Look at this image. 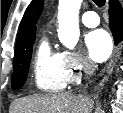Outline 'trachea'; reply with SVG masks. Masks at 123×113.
<instances>
[{"instance_id": "3493384b", "label": "trachea", "mask_w": 123, "mask_h": 113, "mask_svg": "<svg viewBox=\"0 0 123 113\" xmlns=\"http://www.w3.org/2000/svg\"><path fill=\"white\" fill-rule=\"evenodd\" d=\"M93 1H94V3H95L97 6H99V7L104 6L105 3H106V0H93Z\"/></svg>"}]
</instances>
